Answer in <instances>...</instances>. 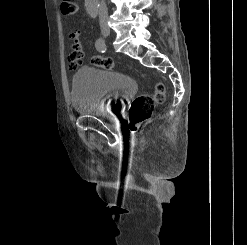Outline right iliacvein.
<instances>
[{
	"instance_id": "right-iliac-vein-1",
	"label": "right iliac vein",
	"mask_w": 247,
	"mask_h": 245,
	"mask_svg": "<svg viewBox=\"0 0 247 245\" xmlns=\"http://www.w3.org/2000/svg\"><path fill=\"white\" fill-rule=\"evenodd\" d=\"M101 31H102V34H103L105 37H107V36L110 35V29H109L108 27H105V26L102 27Z\"/></svg>"
}]
</instances>
